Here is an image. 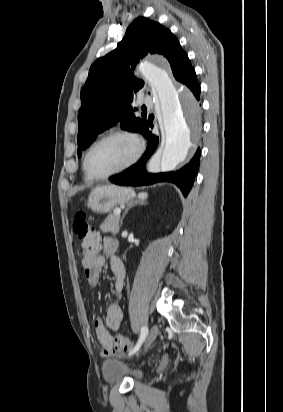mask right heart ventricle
<instances>
[{"instance_id": "right-heart-ventricle-1", "label": "right heart ventricle", "mask_w": 283, "mask_h": 412, "mask_svg": "<svg viewBox=\"0 0 283 412\" xmlns=\"http://www.w3.org/2000/svg\"><path fill=\"white\" fill-rule=\"evenodd\" d=\"M85 179L86 180H91V178L86 174V172H85Z\"/></svg>"}]
</instances>
